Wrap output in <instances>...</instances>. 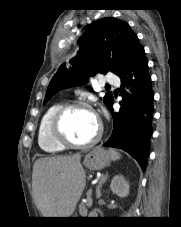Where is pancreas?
Wrapping results in <instances>:
<instances>
[{
	"mask_svg": "<svg viewBox=\"0 0 181 227\" xmlns=\"http://www.w3.org/2000/svg\"><path fill=\"white\" fill-rule=\"evenodd\" d=\"M88 203H81L79 206V214L81 215V217H86L87 213H88V209H87Z\"/></svg>",
	"mask_w": 181,
	"mask_h": 227,
	"instance_id": "pancreas-1",
	"label": "pancreas"
}]
</instances>
